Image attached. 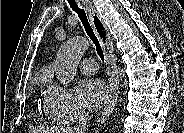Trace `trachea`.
<instances>
[{"label": "trachea", "mask_w": 184, "mask_h": 133, "mask_svg": "<svg viewBox=\"0 0 184 133\" xmlns=\"http://www.w3.org/2000/svg\"><path fill=\"white\" fill-rule=\"evenodd\" d=\"M68 2H69L70 7L72 8V10L78 14V17L81 20L87 35L92 40V42L95 44L96 51H97L100 59L102 60V62H104V54H103L102 46H101L100 41H99L98 37L96 36V34H95V32H94V30H93V28L88 20V17L86 15L85 11L83 9L79 8L74 0H68Z\"/></svg>", "instance_id": "trachea-1"}]
</instances>
